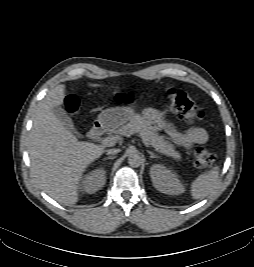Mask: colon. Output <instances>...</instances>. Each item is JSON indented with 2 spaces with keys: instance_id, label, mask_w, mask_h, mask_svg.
<instances>
[{
  "instance_id": "obj_1",
  "label": "colon",
  "mask_w": 254,
  "mask_h": 267,
  "mask_svg": "<svg viewBox=\"0 0 254 267\" xmlns=\"http://www.w3.org/2000/svg\"><path fill=\"white\" fill-rule=\"evenodd\" d=\"M167 99L172 112L182 119L196 120L203 117V112L195 101L182 90L171 88L167 91ZM118 100L127 101L129 96L119 95ZM68 112L74 113L79 108V100L75 95L69 94L64 101ZM194 165L197 168L210 167L215 162V154L207 148L198 147L194 150Z\"/></svg>"
}]
</instances>
